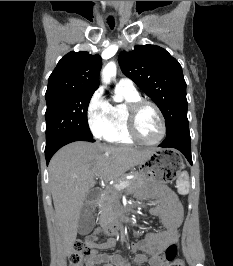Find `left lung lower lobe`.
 Here are the masks:
<instances>
[{
  "instance_id": "left-lung-lower-lobe-1",
  "label": "left lung lower lobe",
  "mask_w": 233,
  "mask_h": 266,
  "mask_svg": "<svg viewBox=\"0 0 233 266\" xmlns=\"http://www.w3.org/2000/svg\"><path fill=\"white\" fill-rule=\"evenodd\" d=\"M159 147H169L179 150L192 165L191 139L187 116L181 117L171 129L167 130V136Z\"/></svg>"
}]
</instances>
